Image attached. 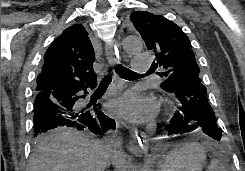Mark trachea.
<instances>
[{"mask_svg": "<svg viewBox=\"0 0 245 171\" xmlns=\"http://www.w3.org/2000/svg\"><path fill=\"white\" fill-rule=\"evenodd\" d=\"M116 72L125 79H130L138 75L137 73L131 71L128 68L123 67L122 65H118L116 67ZM110 82H111V78L107 76L102 79V81L100 82V86H108Z\"/></svg>", "mask_w": 245, "mask_h": 171, "instance_id": "obj_1", "label": "trachea"}]
</instances>
